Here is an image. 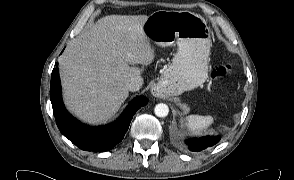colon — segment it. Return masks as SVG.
I'll use <instances>...</instances> for the list:
<instances>
[{"mask_svg": "<svg viewBox=\"0 0 294 180\" xmlns=\"http://www.w3.org/2000/svg\"><path fill=\"white\" fill-rule=\"evenodd\" d=\"M233 71V66L230 62L226 61L218 66H216L212 70V78L213 79H221L224 76L230 74Z\"/></svg>", "mask_w": 294, "mask_h": 180, "instance_id": "1", "label": "colon"}]
</instances>
